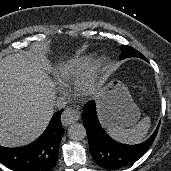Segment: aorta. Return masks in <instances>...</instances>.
I'll return each instance as SVG.
<instances>
[{"mask_svg":"<svg viewBox=\"0 0 171 171\" xmlns=\"http://www.w3.org/2000/svg\"><path fill=\"white\" fill-rule=\"evenodd\" d=\"M68 136L75 141L83 140L86 137V129L83 124L74 123L68 128Z\"/></svg>","mask_w":171,"mask_h":171,"instance_id":"1","label":"aorta"}]
</instances>
